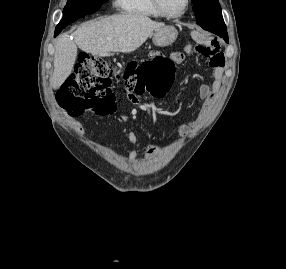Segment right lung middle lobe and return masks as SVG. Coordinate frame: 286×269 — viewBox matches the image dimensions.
Instances as JSON below:
<instances>
[{
  "label": "right lung middle lobe",
  "instance_id": "obj_1",
  "mask_svg": "<svg viewBox=\"0 0 286 269\" xmlns=\"http://www.w3.org/2000/svg\"><path fill=\"white\" fill-rule=\"evenodd\" d=\"M107 1L108 0H68L63 10V18L56 26L55 31L61 32L62 29L73 21L94 13Z\"/></svg>",
  "mask_w": 286,
  "mask_h": 269
}]
</instances>
